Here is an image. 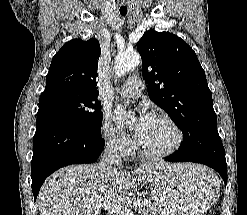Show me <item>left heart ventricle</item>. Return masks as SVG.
<instances>
[{
	"mask_svg": "<svg viewBox=\"0 0 247 215\" xmlns=\"http://www.w3.org/2000/svg\"><path fill=\"white\" fill-rule=\"evenodd\" d=\"M138 141L150 151H163L174 143L175 133L167 123L154 118Z\"/></svg>",
	"mask_w": 247,
	"mask_h": 215,
	"instance_id": "obj_1",
	"label": "left heart ventricle"
}]
</instances>
